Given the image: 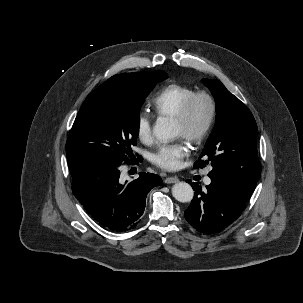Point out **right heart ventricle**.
I'll return each instance as SVG.
<instances>
[{
    "label": "right heart ventricle",
    "instance_id": "1",
    "mask_svg": "<svg viewBox=\"0 0 303 303\" xmlns=\"http://www.w3.org/2000/svg\"><path fill=\"white\" fill-rule=\"evenodd\" d=\"M195 90L178 83H171L163 87L153 100V109L159 116L173 118L180 110L185 100Z\"/></svg>",
    "mask_w": 303,
    "mask_h": 303
}]
</instances>
